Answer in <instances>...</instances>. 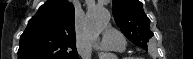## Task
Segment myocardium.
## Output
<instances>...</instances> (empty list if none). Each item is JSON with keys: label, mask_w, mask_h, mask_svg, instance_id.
Here are the masks:
<instances>
[{"label": "myocardium", "mask_w": 193, "mask_h": 59, "mask_svg": "<svg viewBox=\"0 0 193 59\" xmlns=\"http://www.w3.org/2000/svg\"><path fill=\"white\" fill-rule=\"evenodd\" d=\"M121 59H142V58L126 56V57H122Z\"/></svg>", "instance_id": "f54148a6"}]
</instances>
